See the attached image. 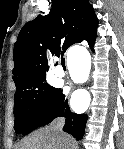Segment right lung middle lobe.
Wrapping results in <instances>:
<instances>
[{"label": "right lung middle lobe", "mask_w": 124, "mask_h": 149, "mask_svg": "<svg viewBox=\"0 0 124 149\" xmlns=\"http://www.w3.org/2000/svg\"><path fill=\"white\" fill-rule=\"evenodd\" d=\"M56 91L57 88L50 86L46 82V78L33 85L16 89L14 105V129L16 133H22L33 114L47 108Z\"/></svg>", "instance_id": "obj_1"}]
</instances>
